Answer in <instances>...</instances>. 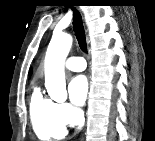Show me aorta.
<instances>
[{"mask_svg": "<svg viewBox=\"0 0 155 141\" xmlns=\"http://www.w3.org/2000/svg\"><path fill=\"white\" fill-rule=\"evenodd\" d=\"M72 41L67 33H54L45 56V87L51 99L58 102L67 98L64 63Z\"/></svg>", "mask_w": 155, "mask_h": 141, "instance_id": "aorta-1", "label": "aorta"}]
</instances>
